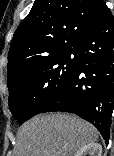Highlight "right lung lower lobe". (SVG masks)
Here are the masks:
<instances>
[{"label": "right lung lower lobe", "mask_w": 114, "mask_h": 156, "mask_svg": "<svg viewBox=\"0 0 114 156\" xmlns=\"http://www.w3.org/2000/svg\"><path fill=\"white\" fill-rule=\"evenodd\" d=\"M79 65L63 92L41 113L64 111L92 123L106 143L114 107V18L108 10L76 43Z\"/></svg>", "instance_id": "right-lung-lower-lobe-1"}]
</instances>
